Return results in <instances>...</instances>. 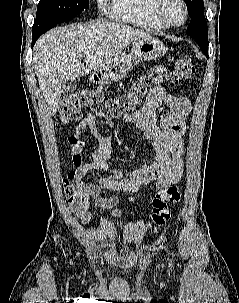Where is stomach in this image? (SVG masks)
<instances>
[{
	"label": "stomach",
	"instance_id": "0dacf381",
	"mask_svg": "<svg viewBox=\"0 0 239 303\" xmlns=\"http://www.w3.org/2000/svg\"><path fill=\"white\" fill-rule=\"evenodd\" d=\"M166 53L164 44L151 36L136 39L130 54L119 55L112 63L95 70L90 81L104 85L123 79L137 61L157 60Z\"/></svg>",
	"mask_w": 239,
	"mask_h": 303
}]
</instances>
